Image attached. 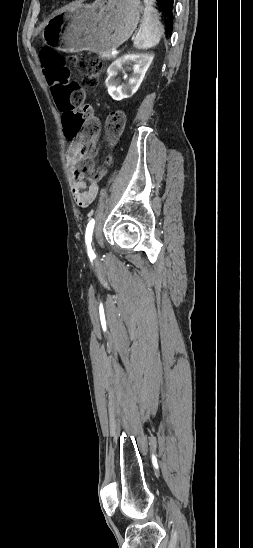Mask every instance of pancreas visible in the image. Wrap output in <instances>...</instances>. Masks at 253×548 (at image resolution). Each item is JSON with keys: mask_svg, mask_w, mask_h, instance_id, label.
Wrapping results in <instances>:
<instances>
[{"mask_svg": "<svg viewBox=\"0 0 253 548\" xmlns=\"http://www.w3.org/2000/svg\"><path fill=\"white\" fill-rule=\"evenodd\" d=\"M100 56H101V58L107 59V60H110V59L114 58V56L111 53L102 54Z\"/></svg>", "mask_w": 253, "mask_h": 548, "instance_id": "obj_1", "label": "pancreas"}]
</instances>
